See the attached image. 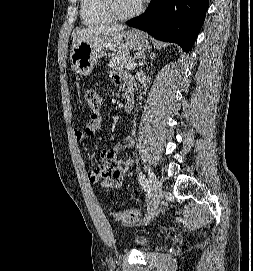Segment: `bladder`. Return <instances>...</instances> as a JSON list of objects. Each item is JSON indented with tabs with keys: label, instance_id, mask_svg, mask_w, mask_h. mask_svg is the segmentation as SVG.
I'll use <instances>...</instances> for the list:
<instances>
[{
	"label": "bladder",
	"instance_id": "31cf9c89",
	"mask_svg": "<svg viewBox=\"0 0 253 271\" xmlns=\"http://www.w3.org/2000/svg\"><path fill=\"white\" fill-rule=\"evenodd\" d=\"M131 241L133 245L142 250H146L153 245V240L151 238L144 236L143 234H136L135 236L132 237Z\"/></svg>",
	"mask_w": 253,
	"mask_h": 271
}]
</instances>
